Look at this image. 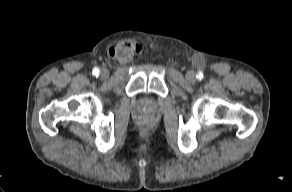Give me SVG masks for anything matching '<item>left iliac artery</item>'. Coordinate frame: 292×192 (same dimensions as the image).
Returning a JSON list of instances; mask_svg holds the SVG:
<instances>
[{"label":"left iliac artery","mask_w":292,"mask_h":192,"mask_svg":"<svg viewBox=\"0 0 292 192\" xmlns=\"http://www.w3.org/2000/svg\"><path fill=\"white\" fill-rule=\"evenodd\" d=\"M203 78V73L199 72L197 74V79L201 80Z\"/></svg>","instance_id":"left-iliac-artery-1"}]
</instances>
